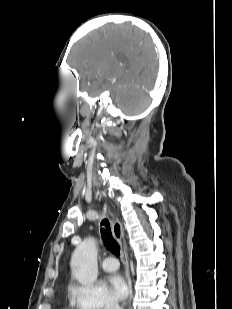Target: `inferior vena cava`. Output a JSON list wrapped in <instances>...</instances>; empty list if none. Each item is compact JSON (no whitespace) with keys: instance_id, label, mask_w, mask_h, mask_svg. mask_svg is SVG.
Segmentation results:
<instances>
[{"instance_id":"602c4592","label":"inferior vena cava","mask_w":232,"mask_h":309,"mask_svg":"<svg viewBox=\"0 0 232 309\" xmlns=\"http://www.w3.org/2000/svg\"><path fill=\"white\" fill-rule=\"evenodd\" d=\"M105 309H121L114 300H109L105 306Z\"/></svg>"}]
</instances>
